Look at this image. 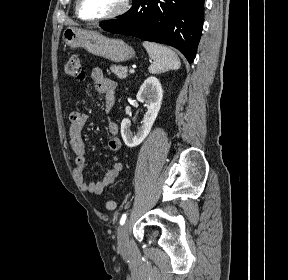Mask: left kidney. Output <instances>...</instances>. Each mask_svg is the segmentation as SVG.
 Returning a JSON list of instances; mask_svg holds the SVG:
<instances>
[{"mask_svg":"<svg viewBox=\"0 0 288 280\" xmlns=\"http://www.w3.org/2000/svg\"><path fill=\"white\" fill-rule=\"evenodd\" d=\"M162 96V86L156 77L147 78L141 85L137 93V100L145 103L147 112L137 133L133 134L130 130L131 122L129 119L125 118L121 123V136L128 147H136L141 144L151 131L161 107Z\"/></svg>","mask_w":288,"mask_h":280,"instance_id":"left-kidney-1","label":"left kidney"}]
</instances>
